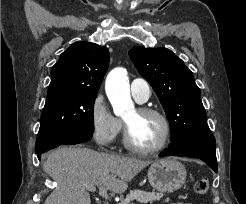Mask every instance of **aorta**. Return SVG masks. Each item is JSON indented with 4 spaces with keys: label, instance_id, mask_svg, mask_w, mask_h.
I'll return each instance as SVG.
<instances>
[{
    "label": "aorta",
    "instance_id": "aorta-1",
    "mask_svg": "<svg viewBox=\"0 0 246 204\" xmlns=\"http://www.w3.org/2000/svg\"><path fill=\"white\" fill-rule=\"evenodd\" d=\"M127 79V71L124 68H115L108 74L105 83L114 114L122 118L135 114Z\"/></svg>",
    "mask_w": 246,
    "mask_h": 204
}]
</instances>
